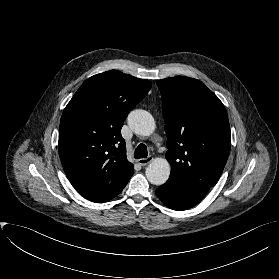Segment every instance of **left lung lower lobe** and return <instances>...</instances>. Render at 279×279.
Segmentation results:
<instances>
[{
    "mask_svg": "<svg viewBox=\"0 0 279 279\" xmlns=\"http://www.w3.org/2000/svg\"><path fill=\"white\" fill-rule=\"evenodd\" d=\"M207 192L180 183L169 177L167 182L161 185L156 194L158 198L170 209L186 210L198 204Z\"/></svg>",
    "mask_w": 279,
    "mask_h": 279,
    "instance_id": "left-lung-lower-lobe-1",
    "label": "left lung lower lobe"
}]
</instances>
